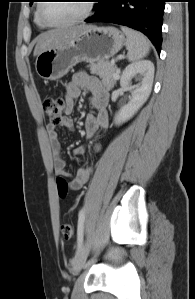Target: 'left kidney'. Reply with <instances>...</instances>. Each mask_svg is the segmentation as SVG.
Returning <instances> with one entry per match:
<instances>
[{"mask_svg": "<svg viewBox=\"0 0 195 299\" xmlns=\"http://www.w3.org/2000/svg\"><path fill=\"white\" fill-rule=\"evenodd\" d=\"M154 65L149 60H142L128 65L122 73L120 85L131 90V99L116 113V125L130 120L147 101L153 84ZM132 79L140 81L136 86L130 87Z\"/></svg>", "mask_w": 195, "mask_h": 299, "instance_id": "left-kidney-1", "label": "left kidney"}]
</instances>
